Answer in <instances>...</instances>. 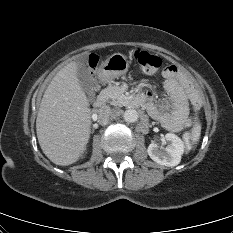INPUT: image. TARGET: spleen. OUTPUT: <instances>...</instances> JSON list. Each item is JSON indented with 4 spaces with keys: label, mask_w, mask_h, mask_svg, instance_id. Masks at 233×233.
Wrapping results in <instances>:
<instances>
[{
    "label": "spleen",
    "mask_w": 233,
    "mask_h": 233,
    "mask_svg": "<svg viewBox=\"0 0 233 233\" xmlns=\"http://www.w3.org/2000/svg\"><path fill=\"white\" fill-rule=\"evenodd\" d=\"M200 134H201V125L199 122H196L191 132V140L193 145L199 141Z\"/></svg>",
    "instance_id": "spleen-1"
}]
</instances>
